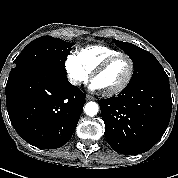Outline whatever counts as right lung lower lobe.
Listing matches in <instances>:
<instances>
[{"instance_id": "right-lung-lower-lobe-1", "label": "right lung lower lobe", "mask_w": 178, "mask_h": 178, "mask_svg": "<svg viewBox=\"0 0 178 178\" xmlns=\"http://www.w3.org/2000/svg\"><path fill=\"white\" fill-rule=\"evenodd\" d=\"M85 97L55 67L12 71L6 84L13 127L26 142L42 149H56L69 141Z\"/></svg>"}]
</instances>
